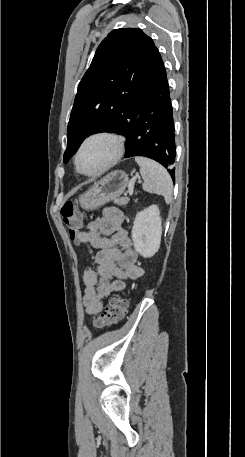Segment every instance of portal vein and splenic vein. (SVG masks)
<instances>
[{"instance_id":"1","label":"portal vein and splenic vein","mask_w":245,"mask_h":457,"mask_svg":"<svg viewBox=\"0 0 245 457\" xmlns=\"http://www.w3.org/2000/svg\"><path fill=\"white\" fill-rule=\"evenodd\" d=\"M135 180H136V176H132L130 182H128V184H127V185H128L127 188H128L129 194H133V193H134V190H133L134 187H133V185H134V183H135Z\"/></svg>"}]
</instances>
